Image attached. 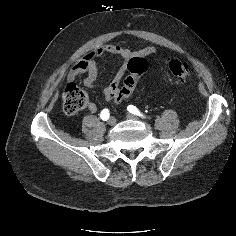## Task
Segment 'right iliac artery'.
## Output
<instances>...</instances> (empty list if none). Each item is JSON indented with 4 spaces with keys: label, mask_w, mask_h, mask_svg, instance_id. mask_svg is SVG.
I'll list each match as a JSON object with an SVG mask.
<instances>
[{
    "label": "right iliac artery",
    "mask_w": 236,
    "mask_h": 236,
    "mask_svg": "<svg viewBox=\"0 0 236 236\" xmlns=\"http://www.w3.org/2000/svg\"><path fill=\"white\" fill-rule=\"evenodd\" d=\"M110 113L108 109H103L100 113V117L102 120L106 121L109 119Z\"/></svg>",
    "instance_id": "82829eb1"
}]
</instances>
